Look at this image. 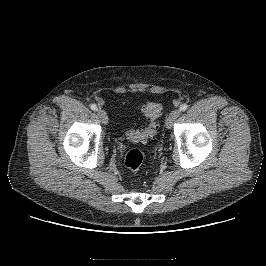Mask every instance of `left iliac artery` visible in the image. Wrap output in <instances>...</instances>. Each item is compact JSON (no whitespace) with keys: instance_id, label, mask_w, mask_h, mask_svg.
Returning <instances> with one entry per match:
<instances>
[{"instance_id":"1","label":"left iliac artery","mask_w":266,"mask_h":266,"mask_svg":"<svg viewBox=\"0 0 266 266\" xmlns=\"http://www.w3.org/2000/svg\"><path fill=\"white\" fill-rule=\"evenodd\" d=\"M187 108H188V105L184 103V104H182V105L180 106V111H186Z\"/></svg>"}]
</instances>
